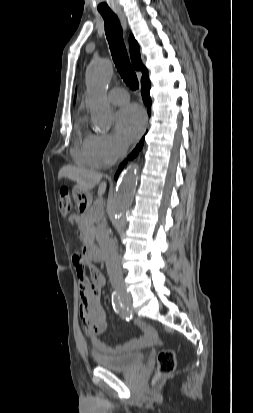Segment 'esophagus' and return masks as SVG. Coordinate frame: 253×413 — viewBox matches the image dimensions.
Returning <instances> with one entry per match:
<instances>
[{
  "instance_id": "34e87169",
  "label": "esophagus",
  "mask_w": 253,
  "mask_h": 413,
  "mask_svg": "<svg viewBox=\"0 0 253 413\" xmlns=\"http://www.w3.org/2000/svg\"><path fill=\"white\" fill-rule=\"evenodd\" d=\"M118 17L121 21L122 27L124 28V30H126L127 29V21H126L125 15L122 12H119Z\"/></svg>"
}]
</instances>
